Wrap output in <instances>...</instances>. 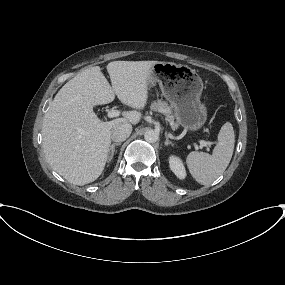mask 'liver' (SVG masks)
<instances>
[{
    "label": "liver",
    "instance_id": "6515ba94",
    "mask_svg": "<svg viewBox=\"0 0 285 285\" xmlns=\"http://www.w3.org/2000/svg\"><path fill=\"white\" fill-rule=\"evenodd\" d=\"M157 61H113L107 65L111 84L99 66L83 70L56 94L43 119V151L50 166L70 183L85 185L103 172L111 144V129L119 123L137 124L138 111L101 121L95 105L114 100L143 109L148 99V79Z\"/></svg>",
    "mask_w": 285,
    "mask_h": 285
}]
</instances>
